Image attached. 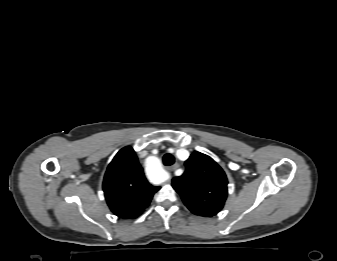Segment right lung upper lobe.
Returning a JSON list of instances; mask_svg holds the SVG:
<instances>
[{
	"mask_svg": "<svg viewBox=\"0 0 337 261\" xmlns=\"http://www.w3.org/2000/svg\"><path fill=\"white\" fill-rule=\"evenodd\" d=\"M160 187L152 186L134 150L122 148L109 164L104 176L103 190L111 211L120 218H137L149 205Z\"/></svg>",
	"mask_w": 337,
	"mask_h": 261,
	"instance_id": "cb5924a9",
	"label": "right lung upper lobe"
}]
</instances>
